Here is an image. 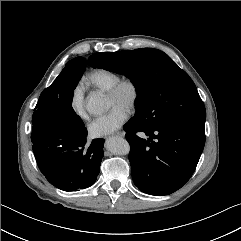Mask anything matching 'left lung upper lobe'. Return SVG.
Wrapping results in <instances>:
<instances>
[{
    "label": "left lung upper lobe",
    "mask_w": 241,
    "mask_h": 241,
    "mask_svg": "<svg viewBox=\"0 0 241 241\" xmlns=\"http://www.w3.org/2000/svg\"><path fill=\"white\" fill-rule=\"evenodd\" d=\"M88 64L125 75L134 83L138 93L134 118L149 128L171 118L205 122V106L194 82L158 49L98 52Z\"/></svg>",
    "instance_id": "5c2ea615"
}]
</instances>
